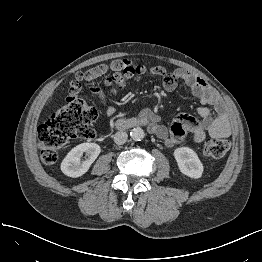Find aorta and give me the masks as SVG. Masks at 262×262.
<instances>
[{
    "label": "aorta",
    "instance_id": "obj_1",
    "mask_svg": "<svg viewBox=\"0 0 262 262\" xmlns=\"http://www.w3.org/2000/svg\"><path fill=\"white\" fill-rule=\"evenodd\" d=\"M130 136L134 141H141L145 137V133L142 128H133L130 132Z\"/></svg>",
    "mask_w": 262,
    "mask_h": 262
}]
</instances>
